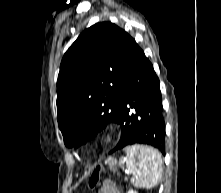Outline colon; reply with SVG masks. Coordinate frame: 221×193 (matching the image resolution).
<instances>
[{
  "mask_svg": "<svg viewBox=\"0 0 221 193\" xmlns=\"http://www.w3.org/2000/svg\"><path fill=\"white\" fill-rule=\"evenodd\" d=\"M103 172V168L101 166H97L88 178V187L89 189H95L100 183V177Z\"/></svg>",
  "mask_w": 221,
  "mask_h": 193,
  "instance_id": "5ec220e1",
  "label": "colon"
}]
</instances>
